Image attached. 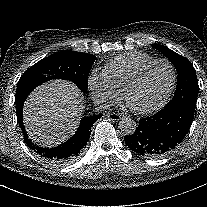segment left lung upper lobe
<instances>
[{
	"label": "left lung upper lobe",
	"instance_id": "5c2ea615",
	"mask_svg": "<svg viewBox=\"0 0 207 207\" xmlns=\"http://www.w3.org/2000/svg\"><path fill=\"white\" fill-rule=\"evenodd\" d=\"M159 50L174 65L178 73L177 86L174 97L165 108L183 106L195 111L198 96V81L192 63L185 57L177 54L163 45H152Z\"/></svg>",
	"mask_w": 207,
	"mask_h": 207
}]
</instances>
